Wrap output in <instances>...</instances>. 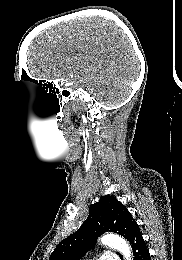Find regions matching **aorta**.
<instances>
[{
    "instance_id": "aorta-1",
    "label": "aorta",
    "mask_w": 182,
    "mask_h": 260,
    "mask_svg": "<svg viewBox=\"0 0 182 260\" xmlns=\"http://www.w3.org/2000/svg\"><path fill=\"white\" fill-rule=\"evenodd\" d=\"M101 243L110 248L116 249L121 252L125 260H131L132 253L131 248L127 241L122 237L115 234H107L101 238Z\"/></svg>"
}]
</instances>
